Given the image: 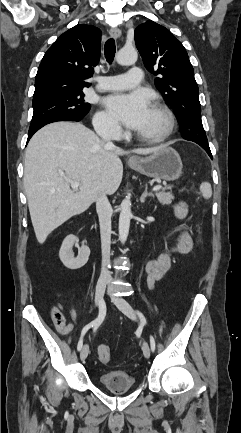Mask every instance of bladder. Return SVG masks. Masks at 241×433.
I'll use <instances>...</instances> for the list:
<instances>
[{"label": "bladder", "instance_id": "1", "mask_svg": "<svg viewBox=\"0 0 241 433\" xmlns=\"http://www.w3.org/2000/svg\"><path fill=\"white\" fill-rule=\"evenodd\" d=\"M100 384L113 393L129 391L136 386V379L125 371H109L99 376Z\"/></svg>", "mask_w": 241, "mask_h": 433}]
</instances>
